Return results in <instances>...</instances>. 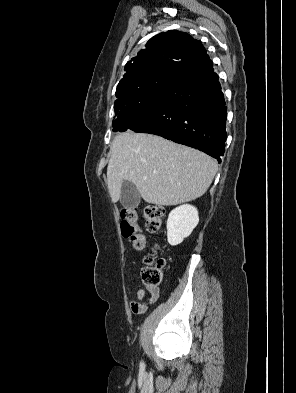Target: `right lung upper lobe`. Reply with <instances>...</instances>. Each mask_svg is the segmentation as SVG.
<instances>
[{"label":"right lung upper lobe","instance_id":"right-lung-upper-lobe-1","mask_svg":"<svg viewBox=\"0 0 296 393\" xmlns=\"http://www.w3.org/2000/svg\"><path fill=\"white\" fill-rule=\"evenodd\" d=\"M200 41L189 34L170 30L152 37L146 47L125 65V74L120 80L115 103L137 96L144 85L156 77H172L182 68H187L206 56Z\"/></svg>","mask_w":296,"mask_h":393}]
</instances>
